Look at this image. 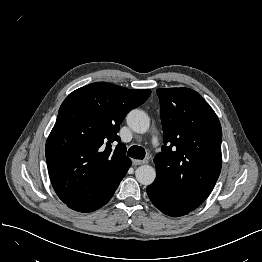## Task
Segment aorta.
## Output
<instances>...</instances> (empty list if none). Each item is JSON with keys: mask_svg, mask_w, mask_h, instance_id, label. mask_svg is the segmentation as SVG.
I'll list each match as a JSON object with an SVG mask.
<instances>
[{"mask_svg": "<svg viewBox=\"0 0 262 262\" xmlns=\"http://www.w3.org/2000/svg\"><path fill=\"white\" fill-rule=\"evenodd\" d=\"M128 126L136 133H146L150 126L148 115L140 110L133 109L127 115ZM137 181L142 185H150L156 178V171L152 166L142 165L135 171Z\"/></svg>", "mask_w": 262, "mask_h": 262, "instance_id": "obj_1", "label": "aorta"}]
</instances>
